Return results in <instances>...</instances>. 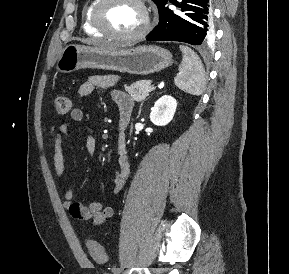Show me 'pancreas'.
<instances>
[{"instance_id":"obj_1","label":"pancreas","mask_w":289,"mask_h":274,"mask_svg":"<svg viewBox=\"0 0 289 274\" xmlns=\"http://www.w3.org/2000/svg\"><path fill=\"white\" fill-rule=\"evenodd\" d=\"M150 86V80H140L134 82L131 86H125V91H127L135 101L140 102L148 96L149 91L147 90Z\"/></svg>"}]
</instances>
